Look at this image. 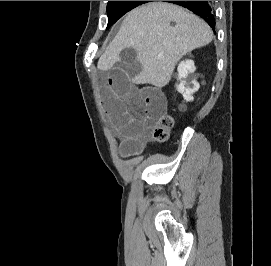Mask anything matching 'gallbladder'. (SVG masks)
I'll use <instances>...</instances> for the list:
<instances>
[{
  "label": "gallbladder",
  "instance_id": "1",
  "mask_svg": "<svg viewBox=\"0 0 271 266\" xmlns=\"http://www.w3.org/2000/svg\"><path fill=\"white\" fill-rule=\"evenodd\" d=\"M116 67L129 78H134L143 68L137 60V52L133 48H125L121 51L120 61L116 63Z\"/></svg>",
  "mask_w": 271,
  "mask_h": 266
}]
</instances>
